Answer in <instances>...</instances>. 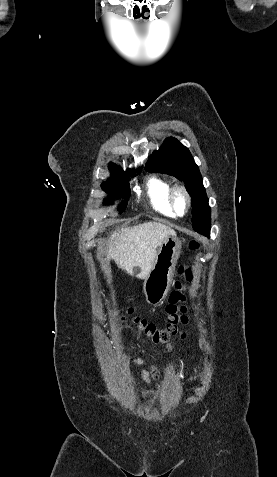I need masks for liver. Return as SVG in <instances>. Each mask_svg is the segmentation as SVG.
I'll use <instances>...</instances> for the list:
<instances>
[{
	"label": "liver",
	"mask_w": 277,
	"mask_h": 477,
	"mask_svg": "<svg viewBox=\"0 0 277 477\" xmlns=\"http://www.w3.org/2000/svg\"><path fill=\"white\" fill-rule=\"evenodd\" d=\"M172 235H176L172 228L158 222L124 227L111 235L108 258L130 275L135 267H139L138 278L145 279L153 268L162 242Z\"/></svg>",
	"instance_id": "liver-1"
}]
</instances>
